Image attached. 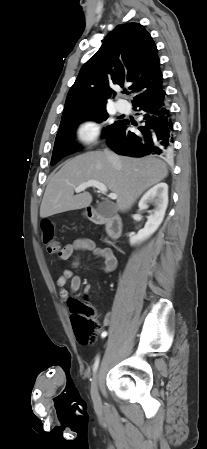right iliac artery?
Segmentation results:
<instances>
[{
  "mask_svg": "<svg viewBox=\"0 0 207 449\" xmlns=\"http://www.w3.org/2000/svg\"><path fill=\"white\" fill-rule=\"evenodd\" d=\"M101 336H102L103 338L106 337V336H107V332L104 331V332L101 334ZM98 363H99V357L96 358V361H95V364H94V370L97 368Z\"/></svg>",
  "mask_w": 207,
  "mask_h": 449,
  "instance_id": "82829eb1",
  "label": "right iliac artery"
}]
</instances>
